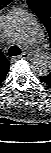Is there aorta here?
<instances>
[{
	"label": "aorta",
	"instance_id": "1",
	"mask_svg": "<svg viewBox=\"0 0 51 153\" xmlns=\"http://www.w3.org/2000/svg\"><path fill=\"white\" fill-rule=\"evenodd\" d=\"M9 37L23 45H37L44 39V33L39 22L23 9L9 12L5 24ZM32 71L39 76H46L51 72V59L46 53L35 54L30 59Z\"/></svg>",
	"mask_w": 51,
	"mask_h": 153
}]
</instances>
